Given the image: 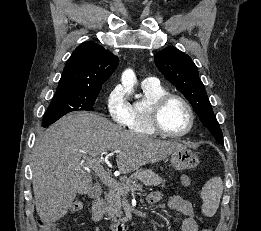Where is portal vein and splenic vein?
Listing matches in <instances>:
<instances>
[{
    "label": "portal vein and splenic vein",
    "instance_id": "portal-vein-and-splenic-vein-1",
    "mask_svg": "<svg viewBox=\"0 0 261 231\" xmlns=\"http://www.w3.org/2000/svg\"><path fill=\"white\" fill-rule=\"evenodd\" d=\"M113 153H117V151H112ZM106 154L107 152H103ZM104 161L103 156L98 158H90L87 160V166L92 168L100 178V180L107 185L110 188L118 189L123 192H128V191H136V190H141L142 185L141 184H135L131 188L127 187H122L118 181H116L114 178H112L102 167L101 163Z\"/></svg>",
    "mask_w": 261,
    "mask_h": 231
}]
</instances>
